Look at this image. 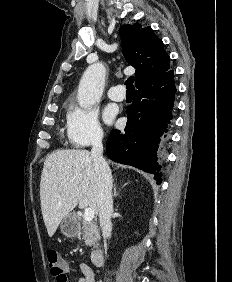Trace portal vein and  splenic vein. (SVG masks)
Wrapping results in <instances>:
<instances>
[{
  "instance_id": "1",
  "label": "portal vein and splenic vein",
  "mask_w": 232,
  "mask_h": 282,
  "mask_svg": "<svg viewBox=\"0 0 232 282\" xmlns=\"http://www.w3.org/2000/svg\"><path fill=\"white\" fill-rule=\"evenodd\" d=\"M93 218H94V211H93V209L90 208V207L89 208H85V210H84V220L90 222V221L93 220Z\"/></svg>"
}]
</instances>
